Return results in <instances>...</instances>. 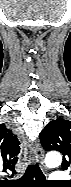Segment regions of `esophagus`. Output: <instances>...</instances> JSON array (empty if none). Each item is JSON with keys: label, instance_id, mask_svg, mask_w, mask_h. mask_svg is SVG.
Here are the masks:
<instances>
[{"label": "esophagus", "instance_id": "34e87169", "mask_svg": "<svg viewBox=\"0 0 71 187\" xmlns=\"http://www.w3.org/2000/svg\"><path fill=\"white\" fill-rule=\"evenodd\" d=\"M44 157V151L43 148L39 142V140H36L31 147V160L32 162H39L42 164Z\"/></svg>", "mask_w": 71, "mask_h": 187}]
</instances>
